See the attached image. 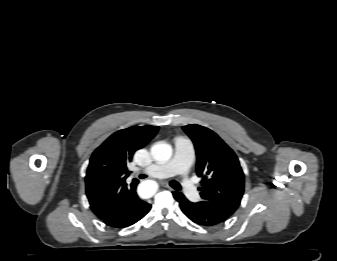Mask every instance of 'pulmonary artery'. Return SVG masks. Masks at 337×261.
I'll return each mask as SVG.
<instances>
[{
	"label": "pulmonary artery",
	"mask_w": 337,
	"mask_h": 261,
	"mask_svg": "<svg viewBox=\"0 0 337 261\" xmlns=\"http://www.w3.org/2000/svg\"><path fill=\"white\" fill-rule=\"evenodd\" d=\"M194 158V146L190 140L178 138L175 141V153L172 160L166 164H153L144 170V173L154 178H165L172 175H181V185L184 193L191 200H196L198 191L187 177Z\"/></svg>",
	"instance_id": "pulmonary-artery-1"
}]
</instances>
